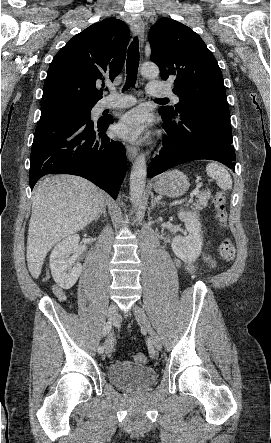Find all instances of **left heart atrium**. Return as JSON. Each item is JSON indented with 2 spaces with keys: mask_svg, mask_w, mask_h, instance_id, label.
Instances as JSON below:
<instances>
[{
  "mask_svg": "<svg viewBox=\"0 0 271 443\" xmlns=\"http://www.w3.org/2000/svg\"><path fill=\"white\" fill-rule=\"evenodd\" d=\"M148 125L147 113L141 109H133L120 117L114 133L122 140L137 144L146 139Z\"/></svg>",
  "mask_w": 271,
  "mask_h": 443,
  "instance_id": "39dd6f15",
  "label": "left heart atrium"
}]
</instances>
